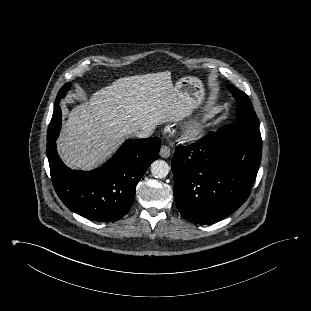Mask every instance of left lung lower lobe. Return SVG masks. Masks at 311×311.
<instances>
[{"mask_svg": "<svg viewBox=\"0 0 311 311\" xmlns=\"http://www.w3.org/2000/svg\"><path fill=\"white\" fill-rule=\"evenodd\" d=\"M258 128L232 123L189 146H178L172 158L174 198L190 222L212 224L248 198L261 161Z\"/></svg>", "mask_w": 311, "mask_h": 311, "instance_id": "0a47b994", "label": "left lung lower lobe"}]
</instances>
